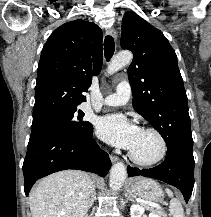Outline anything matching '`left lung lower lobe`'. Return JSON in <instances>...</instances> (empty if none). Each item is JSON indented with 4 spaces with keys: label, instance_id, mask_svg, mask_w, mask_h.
I'll list each match as a JSON object with an SVG mask.
<instances>
[{
    "label": "left lung lower lobe",
    "instance_id": "1",
    "mask_svg": "<svg viewBox=\"0 0 211 217\" xmlns=\"http://www.w3.org/2000/svg\"><path fill=\"white\" fill-rule=\"evenodd\" d=\"M129 176H145L162 180L178 188L188 202L194 186L193 148L173 145L168 147L165 161L151 169L127 168Z\"/></svg>",
    "mask_w": 211,
    "mask_h": 217
}]
</instances>
